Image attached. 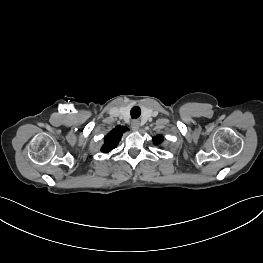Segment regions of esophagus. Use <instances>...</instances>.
Here are the masks:
<instances>
[{
	"label": "esophagus",
	"instance_id": "1",
	"mask_svg": "<svg viewBox=\"0 0 263 263\" xmlns=\"http://www.w3.org/2000/svg\"><path fill=\"white\" fill-rule=\"evenodd\" d=\"M132 129L137 131L139 129V121L138 120H133L131 123Z\"/></svg>",
	"mask_w": 263,
	"mask_h": 263
}]
</instances>
